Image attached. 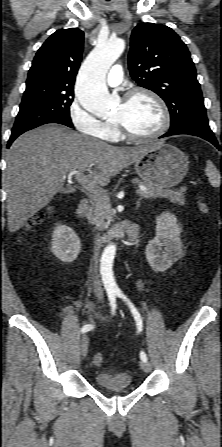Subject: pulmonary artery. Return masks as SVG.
<instances>
[{
    "label": "pulmonary artery",
    "mask_w": 222,
    "mask_h": 447,
    "mask_svg": "<svg viewBox=\"0 0 222 447\" xmlns=\"http://www.w3.org/2000/svg\"><path fill=\"white\" fill-rule=\"evenodd\" d=\"M122 78H123L122 67L120 65H115L112 67L107 77V84L112 87L118 86L121 84Z\"/></svg>",
    "instance_id": "1"
}]
</instances>
